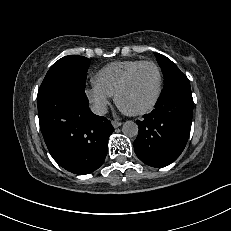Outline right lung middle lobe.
I'll use <instances>...</instances> for the list:
<instances>
[{
  "mask_svg": "<svg viewBox=\"0 0 231 231\" xmlns=\"http://www.w3.org/2000/svg\"><path fill=\"white\" fill-rule=\"evenodd\" d=\"M89 59L83 56H65L55 62L47 72L38 96L48 89L63 83H75L84 88Z\"/></svg>",
  "mask_w": 231,
  "mask_h": 231,
  "instance_id": "right-lung-middle-lobe-1",
  "label": "right lung middle lobe"
}]
</instances>
